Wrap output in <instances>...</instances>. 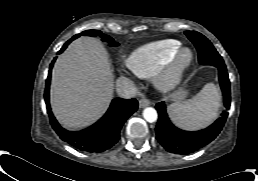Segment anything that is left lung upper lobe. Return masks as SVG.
I'll return each mask as SVG.
<instances>
[{"label":"left lung upper lobe","mask_w":258,"mask_h":181,"mask_svg":"<svg viewBox=\"0 0 258 181\" xmlns=\"http://www.w3.org/2000/svg\"><path fill=\"white\" fill-rule=\"evenodd\" d=\"M185 34L195 45L198 51V59L200 64L213 65L216 67L225 66L222 57L204 35L196 31H185Z\"/></svg>","instance_id":"1"}]
</instances>
